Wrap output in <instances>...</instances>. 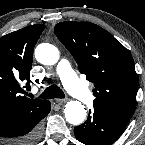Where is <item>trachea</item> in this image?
I'll use <instances>...</instances> for the list:
<instances>
[{"label": "trachea", "instance_id": "obj_1", "mask_svg": "<svg viewBox=\"0 0 145 145\" xmlns=\"http://www.w3.org/2000/svg\"><path fill=\"white\" fill-rule=\"evenodd\" d=\"M43 99H52V98H65L64 92L57 86L51 85L45 89V91L39 96Z\"/></svg>", "mask_w": 145, "mask_h": 145}]
</instances>
